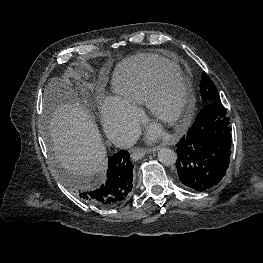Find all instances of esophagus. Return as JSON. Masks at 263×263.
Instances as JSON below:
<instances>
[{
	"mask_svg": "<svg viewBox=\"0 0 263 263\" xmlns=\"http://www.w3.org/2000/svg\"><path fill=\"white\" fill-rule=\"evenodd\" d=\"M158 150V148H150L147 150L141 149V148H133L131 150V157L134 161H137L139 159H141L142 157H144L145 154H151L154 153Z\"/></svg>",
	"mask_w": 263,
	"mask_h": 263,
	"instance_id": "obj_1",
	"label": "esophagus"
}]
</instances>
